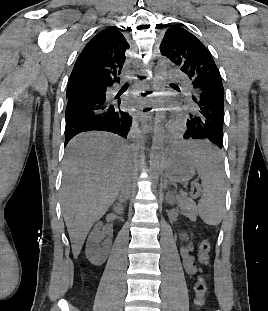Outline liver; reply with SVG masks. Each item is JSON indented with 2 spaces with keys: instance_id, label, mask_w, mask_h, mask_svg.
Returning <instances> with one entry per match:
<instances>
[{
  "instance_id": "liver-1",
  "label": "liver",
  "mask_w": 268,
  "mask_h": 311,
  "mask_svg": "<svg viewBox=\"0 0 268 311\" xmlns=\"http://www.w3.org/2000/svg\"><path fill=\"white\" fill-rule=\"evenodd\" d=\"M130 164L129 144L107 132L83 133L68 144L61 197L74 258L92 225L117 198Z\"/></svg>"
}]
</instances>
